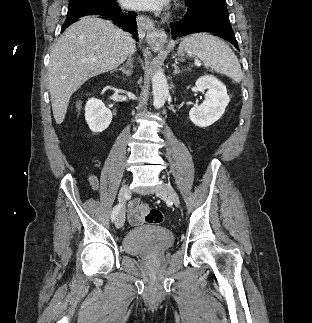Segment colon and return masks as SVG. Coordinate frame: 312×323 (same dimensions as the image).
I'll use <instances>...</instances> for the list:
<instances>
[{
    "mask_svg": "<svg viewBox=\"0 0 312 323\" xmlns=\"http://www.w3.org/2000/svg\"><path fill=\"white\" fill-rule=\"evenodd\" d=\"M139 211L144 216V221L148 224L159 225L163 223L162 212L158 208L149 206L148 204H141L138 207Z\"/></svg>",
    "mask_w": 312,
    "mask_h": 323,
    "instance_id": "5ec220e1",
    "label": "colon"
}]
</instances>
